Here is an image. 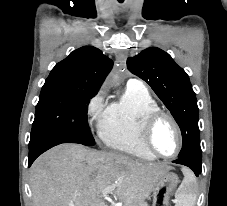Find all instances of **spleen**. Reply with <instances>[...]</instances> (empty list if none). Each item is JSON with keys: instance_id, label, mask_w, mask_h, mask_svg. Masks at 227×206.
Listing matches in <instances>:
<instances>
[{"instance_id": "obj_1", "label": "spleen", "mask_w": 227, "mask_h": 206, "mask_svg": "<svg viewBox=\"0 0 227 206\" xmlns=\"http://www.w3.org/2000/svg\"><path fill=\"white\" fill-rule=\"evenodd\" d=\"M194 188L193 176L186 173L185 179L175 195L176 206H194L196 200Z\"/></svg>"}]
</instances>
